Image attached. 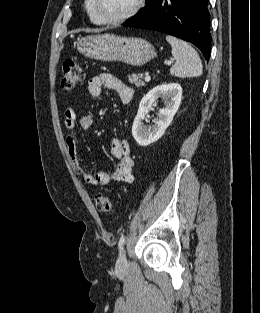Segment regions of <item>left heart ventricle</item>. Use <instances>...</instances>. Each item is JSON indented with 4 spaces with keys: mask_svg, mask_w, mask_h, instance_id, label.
I'll use <instances>...</instances> for the list:
<instances>
[{
    "mask_svg": "<svg viewBox=\"0 0 260 313\" xmlns=\"http://www.w3.org/2000/svg\"><path fill=\"white\" fill-rule=\"evenodd\" d=\"M101 13L108 18L124 15L134 5L135 0H98Z\"/></svg>",
    "mask_w": 260,
    "mask_h": 313,
    "instance_id": "left-heart-ventricle-1",
    "label": "left heart ventricle"
}]
</instances>
